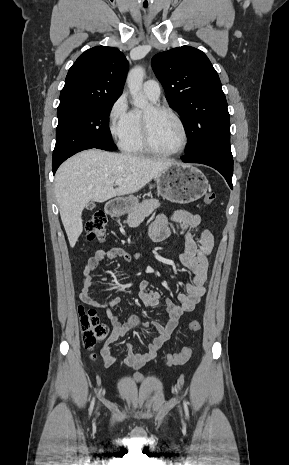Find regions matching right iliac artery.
Listing matches in <instances>:
<instances>
[{"instance_id":"1","label":"right iliac artery","mask_w":289,"mask_h":465,"mask_svg":"<svg viewBox=\"0 0 289 465\" xmlns=\"http://www.w3.org/2000/svg\"><path fill=\"white\" fill-rule=\"evenodd\" d=\"M94 401H95V399H93L92 402H91L90 413L92 412V409H93V406H94Z\"/></svg>"}]
</instances>
